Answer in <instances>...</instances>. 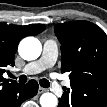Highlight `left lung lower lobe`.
Listing matches in <instances>:
<instances>
[{"label": "left lung lower lobe", "mask_w": 107, "mask_h": 107, "mask_svg": "<svg viewBox=\"0 0 107 107\" xmlns=\"http://www.w3.org/2000/svg\"><path fill=\"white\" fill-rule=\"evenodd\" d=\"M106 105L107 98L98 96L87 88L71 84V89H67L59 99L58 107H106Z\"/></svg>", "instance_id": "1"}]
</instances>
